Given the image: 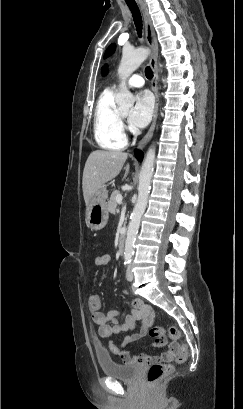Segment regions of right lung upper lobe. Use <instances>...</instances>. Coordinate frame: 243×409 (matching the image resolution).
Instances as JSON below:
<instances>
[{
    "label": "right lung upper lobe",
    "instance_id": "1",
    "mask_svg": "<svg viewBox=\"0 0 243 409\" xmlns=\"http://www.w3.org/2000/svg\"><path fill=\"white\" fill-rule=\"evenodd\" d=\"M104 73L106 72V68H103Z\"/></svg>",
    "mask_w": 243,
    "mask_h": 409
}]
</instances>
